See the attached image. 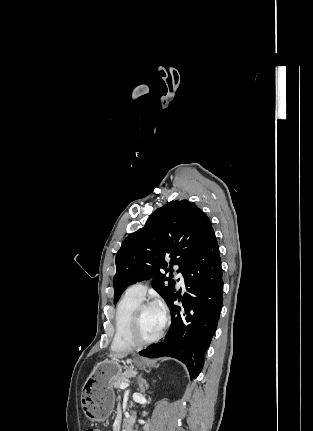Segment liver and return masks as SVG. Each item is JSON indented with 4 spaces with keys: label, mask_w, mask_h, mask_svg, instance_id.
Instances as JSON below:
<instances>
[{
    "label": "liver",
    "mask_w": 313,
    "mask_h": 431,
    "mask_svg": "<svg viewBox=\"0 0 313 431\" xmlns=\"http://www.w3.org/2000/svg\"><path fill=\"white\" fill-rule=\"evenodd\" d=\"M126 356H127L126 354H121V353H112V354L109 355V357L111 359H116V360L124 358Z\"/></svg>",
    "instance_id": "6515ba94"
}]
</instances>
